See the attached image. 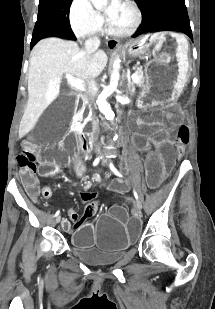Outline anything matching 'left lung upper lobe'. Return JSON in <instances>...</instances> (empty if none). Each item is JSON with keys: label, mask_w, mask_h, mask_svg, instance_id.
I'll use <instances>...</instances> for the list:
<instances>
[{"label": "left lung upper lobe", "mask_w": 215, "mask_h": 309, "mask_svg": "<svg viewBox=\"0 0 215 309\" xmlns=\"http://www.w3.org/2000/svg\"><path fill=\"white\" fill-rule=\"evenodd\" d=\"M136 2L141 8L143 22L134 36L151 31H178L193 40L184 0H136Z\"/></svg>", "instance_id": "1"}]
</instances>
